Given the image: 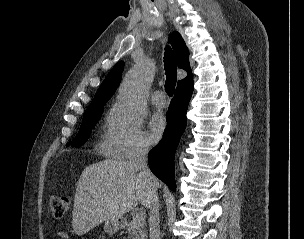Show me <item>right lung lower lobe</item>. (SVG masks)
<instances>
[{"instance_id":"1","label":"right lung lower lobe","mask_w":304,"mask_h":239,"mask_svg":"<svg viewBox=\"0 0 304 239\" xmlns=\"http://www.w3.org/2000/svg\"><path fill=\"white\" fill-rule=\"evenodd\" d=\"M192 92V77L178 84L167 112V127L163 138L148 155L151 171L172 191L176 189L174 155L187 124L186 112Z\"/></svg>"}]
</instances>
